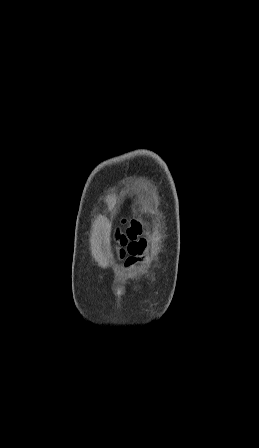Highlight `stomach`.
<instances>
[{"mask_svg":"<svg viewBox=\"0 0 259 448\" xmlns=\"http://www.w3.org/2000/svg\"><path fill=\"white\" fill-rule=\"evenodd\" d=\"M134 214H136V212H138L139 208H137V206H135V208H132Z\"/></svg>","mask_w":259,"mask_h":448,"instance_id":"obj_1","label":"stomach"}]
</instances>
